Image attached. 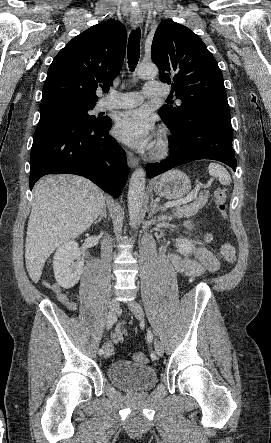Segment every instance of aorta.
I'll return each mask as SVG.
<instances>
[{"label":"aorta","mask_w":271,"mask_h":443,"mask_svg":"<svg viewBox=\"0 0 271 443\" xmlns=\"http://www.w3.org/2000/svg\"><path fill=\"white\" fill-rule=\"evenodd\" d=\"M158 72L159 70L155 64H140L136 70V74L139 78H156ZM145 176L146 174L142 168H137L131 176L128 190L130 225H134V223L139 220L145 194Z\"/></svg>","instance_id":"762f6f07"}]
</instances>
